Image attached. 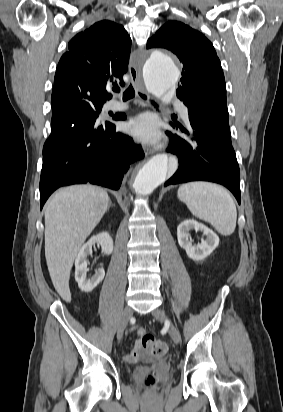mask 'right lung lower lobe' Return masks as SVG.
<instances>
[{
	"label": "right lung lower lobe",
	"instance_id": "98d812e1",
	"mask_svg": "<svg viewBox=\"0 0 283 412\" xmlns=\"http://www.w3.org/2000/svg\"><path fill=\"white\" fill-rule=\"evenodd\" d=\"M51 128L43 147L41 209L61 186L89 182L118 189L130 164L144 157L142 148L130 137L92 113L82 115L72 124Z\"/></svg>",
	"mask_w": 283,
	"mask_h": 412
}]
</instances>
